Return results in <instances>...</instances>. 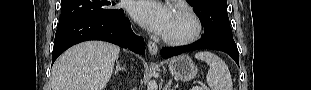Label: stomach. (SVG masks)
I'll return each instance as SVG.
<instances>
[{
	"label": "stomach",
	"mask_w": 311,
	"mask_h": 90,
	"mask_svg": "<svg viewBox=\"0 0 311 90\" xmlns=\"http://www.w3.org/2000/svg\"><path fill=\"white\" fill-rule=\"evenodd\" d=\"M171 75L181 81H189L196 77L198 69L188 55H180L169 63Z\"/></svg>",
	"instance_id": "1"
}]
</instances>
